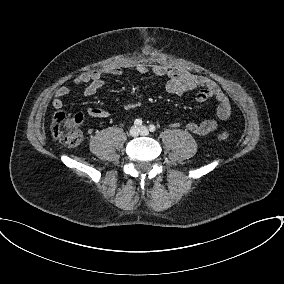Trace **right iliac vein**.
Here are the masks:
<instances>
[{
    "mask_svg": "<svg viewBox=\"0 0 284 284\" xmlns=\"http://www.w3.org/2000/svg\"><path fill=\"white\" fill-rule=\"evenodd\" d=\"M139 132H140L139 128L136 127V126H133L130 129V135L133 136V137L137 136L139 134Z\"/></svg>",
    "mask_w": 284,
    "mask_h": 284,
    "instance_id": "obj_1",
    "label": "right iliac vein"
}]
</instances>
